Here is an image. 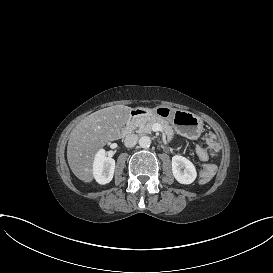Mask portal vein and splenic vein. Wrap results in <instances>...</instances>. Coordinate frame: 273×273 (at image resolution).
I'll list each match as a JSON object with an SVG mask.
<instances>
[{
  "label": "portal vein and splenic vein",
  "mask_w": 273,
  "mask_h": 273,
  "mask_svg": "<svg viewBox=\"0 0 273 273\" xmlns=\"http://www.w3.org/2000/svg\"><path fill=\"white\" fill-rule=\"evenodd\" d=\"M152 131L154 132L159 131L161 134H164V129L158 123L153 124Z\"/></svg>",
  "instance_id": "18ae733b"
}]
</instances>
